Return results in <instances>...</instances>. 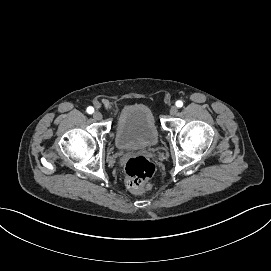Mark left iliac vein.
<instances>
[{"label":"left iliac vein","instance_id":"obj_1","mask_svg":"<svg viewBox=\"0 0 271 271\" xmlns=\"http://www.w3.org/2000/svg\"><path fill=\"white\" fill-rule=\"evenodd\" d=\"M177 112H178V107H177V106H172V107L170 108V110H169V113H170L171 115H175V114H177Z\"/></svg>","mask_w":271,"mask_h":271}]
</instances>
